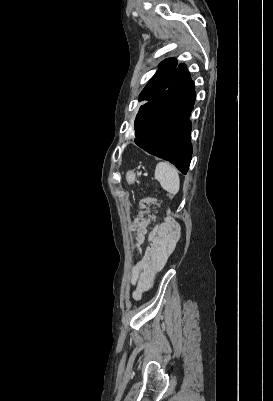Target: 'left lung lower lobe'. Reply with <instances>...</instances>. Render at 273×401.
I'll return each mask as SVG.
<instances>
[{
	"label": "left lung lower lobe",
	"mask_w": 273,
	"mask_h": 401,
	"mask_svg": "<svg viewBox=\"0 0 273 401\" xmlns=\"http://www.w3.org/2000/svg\"><path fill=\"white\" fill-rule=\"evenodd\" d=\"M194 83L184 64L172 74L169 87L142 105L134 122L135 143L174 164L186 174L192 155L191 121Z\"/></svg>",
	"instance_id": "0a47b994"
}]
</instances>
